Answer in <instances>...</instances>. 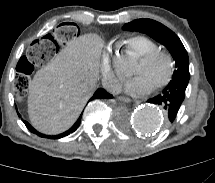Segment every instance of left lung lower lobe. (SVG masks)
I'll use <instances>...</instances> for the list:
<instances>
[{"label": "left lung lower lobe", "instance_id": "obj_1", "mask_svg": "<svg viewBox=\"0 0 215 183\" xmlns=\"http://www.w3.org/2000/svg\"><path fill=\"white\" fill-rule=\"evenodd\" d=\"M189 81L174 79L157 96L148 100L149 103L163 107L167 113L168 120L172 123L185 98V91Z\"/></svg>", "mask_w": 215, "mask_h": 183}]
</instances>
